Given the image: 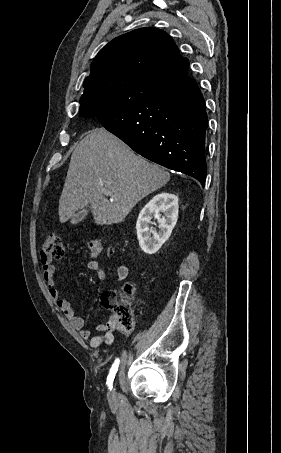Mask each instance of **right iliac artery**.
<instances>
[{"label": "right iliac artery", "mask_w": 281, "mask_h": 453, "mask_svg": "<svg viewBox=\"0 0 281 453\" xmlns=\"http://www.w3.org/2000/svg\"><path fill=\"white\" fill-rule=\"evenodd\" d=\"M119 363H120V360L117 358L114 361V363L110 369L109 375L107 377V382H106V384L109 386V389H112L113 380L115 378V374L117 373Z\"/></svg>", "instance_id": "right-iliac-artery-1"}]
</instances>
